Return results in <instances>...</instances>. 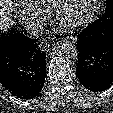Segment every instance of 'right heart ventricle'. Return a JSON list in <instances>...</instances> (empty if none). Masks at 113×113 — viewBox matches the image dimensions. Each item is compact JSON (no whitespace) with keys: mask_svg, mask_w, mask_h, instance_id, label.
Returning a JSON list of instances; mask_svg holds the SVG:
<instances>
[{"mask_svg":"<svg viewBox=\"0 0 113 113\" xmlns=\"http://www.w3.org/2000/svg\"><path fill=\"white\" fill-rule=\"evenodd\" d=\"M26 5L43 15H48L52 11L55 0H24Z\"/></svg>","mask_w":113,"mask_h":113,"instance_id":"obj_1","label":"right heart ventricle"}]
</instances>
